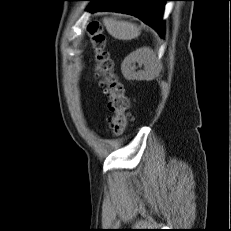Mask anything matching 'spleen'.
<instances>
[{"label": "spleen", "instance_id": "spleen-1", "mask_svg": "<svg viewBox=\"0 0 231 231\" xmlns=\"http://www.w3.org/2000/svg\"><path fill=\"white\" fill-rule=\"evenodd\" d=\"M103 24L108 33L119 40H131L140 35L139 27L128 21H120L105 17L103 19Z\"/></svg>", "mask_w": 231, "mask_h": 231}]
</instances>
